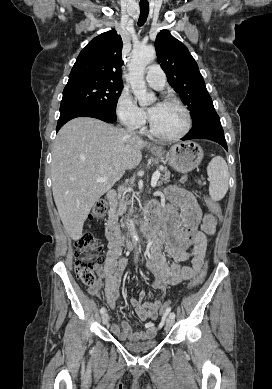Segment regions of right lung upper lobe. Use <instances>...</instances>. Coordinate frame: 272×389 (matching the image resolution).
<instances>
[{
  "label": "right lung upper lobe",
  "instance_id": "cb5924a9",
  "mask_svg": "<svg viewBox=\"0 0 272 389\" xmlns=\"http://www.w3.org/2000/svg\"><path fill=\"white\" fill-rule=\"evenodd\" d=\"M122 39L115 30L100 34L80 52L68 83L79 81L122 82Z\"/></svg>",
  "mask_w": 272,
  "mask_h": 389
}]
</instances>
